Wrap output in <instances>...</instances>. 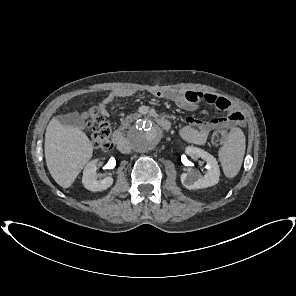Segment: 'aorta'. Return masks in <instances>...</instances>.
<instances>
[{"label":"aorta","instance_id":"1","mask_svg":"<svg viewBox=\"0 0 296 296\" xmlns=\"http://www.w3.org/2000/svg\"><path fill=\"white\" fill-rule=\"evenodd\" d=\"M163 133L149 119H139L128 132V140L137 152H148L159 145Z\"/></svg>","mask_w":296,"mask_h":296}]
</instances>
